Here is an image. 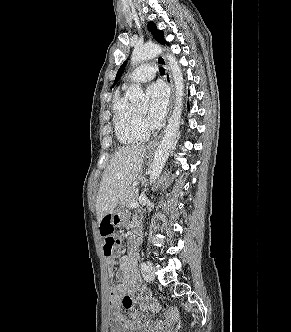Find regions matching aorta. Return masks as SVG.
Masks as SVG:
<instances>
[{
    "label": "aorta",
    "mask_w": 291,
    "mask_h": 332,
    "mask_svg": "<svg viewBox=\"0 0 291 332\" xmlns=\"http://www.w3.org/2000/svg\"><path fill=\"white\" fill-rule=\"evenodd\" d=\"M162 52L163 49L156 44H144L142 46L136 47L133 50L131 61L133 63H140L153 59ZM166 58L168 60L174 80L176 101L165 133L154 156L150 171V184L154 183L162 172V169L169 156V152L178 134L182 113V100L184 96V81L182 71L175 56L167 53ZM129 99L132 103L135 104L147 102V97L139 85H133L131 87Z\"/></svg>",
    "instance_id": "762f6f07"
}]
</instances>
